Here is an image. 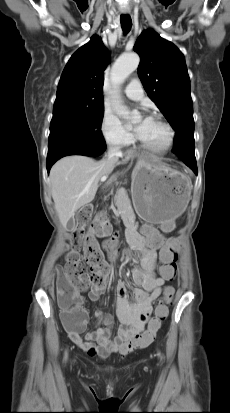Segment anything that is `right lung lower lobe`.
Instances as JSON below:
<instances>
[{
  "instance_id": "98d812e1",
  "label": "right lung lower lobe",
  "mask_w": 230,
  "mask_h": 413,
  "mask_svg": "<svg viewBox=\"0 0 230 413\" xmlns=\"http://www.w3.org/2000/svg\"><path fill=\"white\" fill-rule=\"evenodd\" d=\"M106 150L104 147H70L60 150L51 156H47V171L49 173L52 165L60 158L68 155L99 156Z\"/></svg>"
}]
</instances>
